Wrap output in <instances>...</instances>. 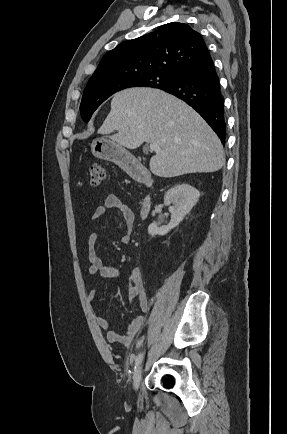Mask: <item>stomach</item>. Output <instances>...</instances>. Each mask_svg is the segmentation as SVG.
I'll return each mask as SVG.
<instances>
[{
    "label": "stomach",
    "instance_id": "stomach-1",
    "mask_svg": "<svg viewBox=\"0 0 287 434\" xmlns=\"http://www.w3.org/2000/svg\"><path fill=\"white\" fill-rule=\"evenodd\" d=\"M91 152L95 157L113 162L123 168H127L133 159L127 150L104 138H97L92 141Z\"/></svg>",
    "mask_w": 287,
    "mask_h": 434
}]
</instances>
